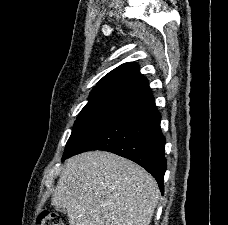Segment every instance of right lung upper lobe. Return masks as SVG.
<instances>
[{"label":"right lung upper lobe","mask_w":228,"mask_h":225,"mask_svg":"<svg viewBox=\"0 0 228 225\" xmlns=\"http://www.w3.org/2000/svg\"><path fill=\"white\" fill-rule=\"evenodd\" d=\"M110 84H124L140 90H144L148 87L147 79L141 75L138 64L134 62L124 63L110 71L95 87Z\"/></svg>","instance_id":"obj_1"}]
</instances>
